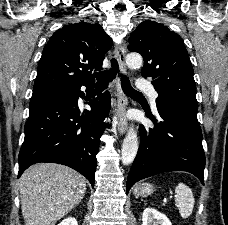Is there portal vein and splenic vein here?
I'll return each mask as SVG.
<instances>
[{
	"label": "portal vein and splenic vein",
	"instance_id": "portal-vein-and-splenic-vein-1",
	"mask_svg": "<svg viewBox=\"0 0 228 225\" xmlns=\"http://www.w3.org/2000/svg\"><path fill=\"white\" fill-rule=\"evenodd\" d=\"M176 198H177L176 195H171V196H170V199H171V200H176ZM160 199L162 200V201H161L162 205H167L168 201H167L165 195H161V196H160Z\"/></svg>",
	"mask_w": 228,
	"mask_h": 225
}]
</instances>
